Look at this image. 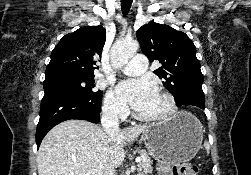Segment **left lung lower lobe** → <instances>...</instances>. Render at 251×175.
<instances>
[{
    "label": "left lung lower lobe",
    "instance_id": "left-lung-lower-lobe-1",
    "mask_svg": "<svg viewBox=\"0 0 251 175\" xmlns=\"http://www.w3.org/2000/svg\"><path fill=\"white\" fill-rule=\"evenodd\" d=\"M177 106L182 107L186 115L190 118L199 117L203 114L205 102H197L191 100L176 101Z\"/></svg>",
    "mask_w": 251,
    "mask_h": 175
}]
</instances>
